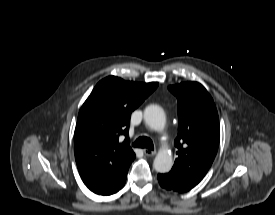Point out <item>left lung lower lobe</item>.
Masks as SVG:
<instances>
[{
	"label": "left lung lower lobe",
	"mask_w": 275,
	"mask_h": 215,
	"mask_svg": "<svg viewBox=\"0 0 275 215\" xmlns=\"http://www.w3.org/2000/svg\"><path fill=\"white\" fill-rule=\"evenodd\" d=\"M161 187L175 192L183 193L191 190L200 181L184 176L178 171L171 170L166 174H158Z\"/></svg>",
	"instance_id": "left-lung-lower-lobe-1"
}]
</instances>
